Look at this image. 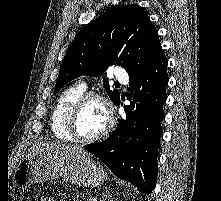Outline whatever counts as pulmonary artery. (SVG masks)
I'll return each mask as SVG.
<instances>
[{
  "label": "pulmonary artery",
  "mask_w": 221,
  "mask_h": 201,
  "mask_svg": "<svg viewBox=\"0 0 221 201\" xmlns=\"http://www.w3.org/2000/svg\"><path fill=\"white\" fill-rule=\"evenodd\" d=\"M115 77L120 82H126L128 80V74L122 68H118L115 71ZM80 85L83 86V87H86L85 83H81Z\"/></svg>",
  "instance_id": "obj_1"
}]
</instances>
